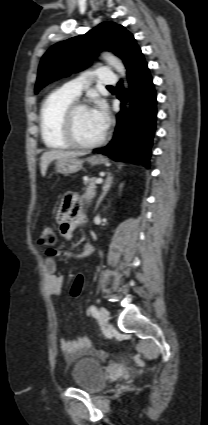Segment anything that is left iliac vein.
Segmentation results:
<instances>
[{"label":"left iliac vein","mask_w":208,"mask_h":425,"mask_svg":"<svg viewBox=\"0 0 208 425\" xmlns=\"http://www.w3.org/2000/svg\"><path fill=\"white\" fill-rule=\"evenodd\" d=\"M99 321L103 327H107L109 322V312L104 307L99 310Z\"/></svg>","instance_id":"left-iliac-vein-1"}]
</instances>
